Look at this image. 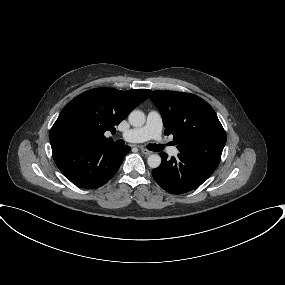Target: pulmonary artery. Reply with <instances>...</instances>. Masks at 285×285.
Segmentation results:
<instances>
[{
    "label": "pulmonary artery",
    "instance_id": "pulmonary-artery-1",
    "mask_svg": "<svg viewBox=\"0 0 285 285\" xmlns=\"http://www.w3.org/2000/svg\"><path fill=\"white\" fill-rule=\"evenodd\" d=\"M162 128L163 122L160 113L156 110H151L143 126L126 130L120 136L125 141L132 143H140L149 139L160 140ZM168 152L171 156H177L179 150L176 147H171Z\"/></svg>",
    "mask_w": 285,
    "mask_h": 285
}]
</instances>
